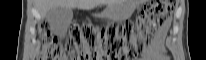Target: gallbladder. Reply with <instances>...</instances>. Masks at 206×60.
Returning a JSON list of instances; mask_svg holds the SVG:
<instances>
[{
  "instance_id": "gallbladder-1",
  "label": "gallbladder",
  "mask_w": 206,
  "mask_h": 60,
  "mask_svg": "<svg viewBox=\"0 0 206 60\" xmlns=\"http://www.w3.org/2000/svg\"><path fill=\"white\" fill-rule=\"evenodd\" d=\"M72 18V10L65 7H55L46 14V19L55 32L58 30H66Z\"/></svg>"
}]
</instances>
